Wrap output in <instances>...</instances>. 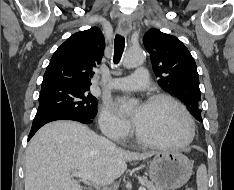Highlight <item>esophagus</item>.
Masks as SVG:
<instances>
[{
    "label": "esophagus",
    "instance_id": "obj_1",
    "mask_svg": "<svg viewBox=\"0 0 234 190\" xmlns=\"http://www.w3.org/2000/svg\"><path fill=\"white\" fill-rule=\"evenodd\" d=\"M118 29H119L120 32L127 34L131 30V24L127 19H123L119 23Z\"/></svg>",
    "mask_w": 234,
    "mask_h": 190
}]
</instances>
